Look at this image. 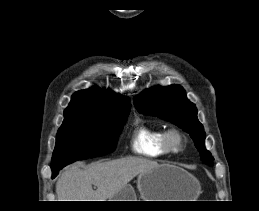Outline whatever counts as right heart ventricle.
Segmentation results:
<instances>
[{"mask_svg":"<svg viewBox=\"0 0 259 211\" xmlns=\"http://www.w3.org/2000/svg\"><path fill=\"white\" fill-rule=\"evenodd\" d=\"M166 130L161 125L140 124L132 132L130 146L133 153L147 157L160 158L169 154L164 145Z\"/></svg>","mask_w":259,"mask_h":211,"instance_id":"1","label":"right heart ventricle"}]
</instances>
